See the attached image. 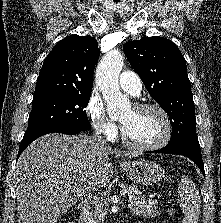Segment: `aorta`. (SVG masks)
I'll return each mask as SVG.
<instances>
[{"instance_id": "aorta-1", "label": "aorta", "mask_w": 221, "mask_h": 223, "mask_svg": "<svg viewBox=\"0 0 221 223\" xmlns=\"http://www.w3.org/2000/svg\"><path fill=\"white\" fill-rule=\"evenodd\" d=\"M123 65V55L118 50H112L103 57L96 69L95 81L110 117H116L131 107V102L119 88L118 77Z\"/></svg>"}]
</instances>
